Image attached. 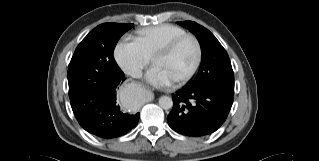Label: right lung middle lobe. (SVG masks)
Instances as JSON below:
<instances>
[{
  "label": "right lung middle lobe",
  "instance_id": "obj_1",
  "mask_svg": "<svg viewBox=\"0 0 319 161\" xmlns=\"http://www.w3.org/2000/svg\"><path fill=\"white\" fill-rule=\"evenodd\" d=\"M133 24L104 23L94 28L78 45L68 65L69 98L86 87L106 80L118 71L114 48Z\"/></svg>",
  "mask_w": 319,
  "mask_h": 161
}]
</instances>
